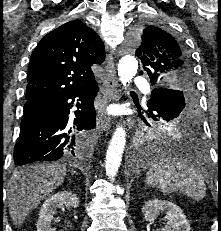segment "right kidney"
I'll return each instance as SVG.
<instances>
[{
  "label": "right kidney",
  "instance_id": "obj_1",
  "mask_svg": "<svg viewBox=\"0 0 221 231\" xmlns=\"http://www.w3.org/2000/svg\"><path fill=\"white\" fill-rule=\"evenodd\" d=\"M63 205L76 208L79 206V198L68 191L58 192L47 198L40 209L37 231H54L52 228L54 214L56 209Z\"/></svg>",
  "mask_w": 221,
  "mask_h": 231
}]
</instances>
